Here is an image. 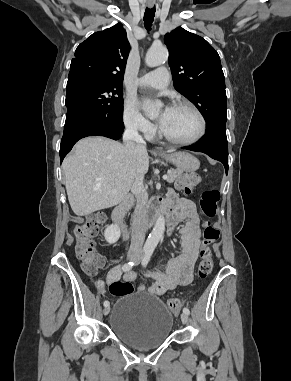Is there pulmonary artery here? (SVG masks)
<instances>
[{
	"instance_id": "e3ab8cb5",
	"label": "pulmonary artery",
	"mask_w": 291,
	"mask_h": 381,
	"mask_svg": "<svg viewBox=\"0 0 291 381\" xmlns=\"http://www.w3.org/2000/svg\"><path fill=\"white\" fill-rule=\"evenodd\" d=\"M137 84L141 87L165 89L169 84V71L165 67H160L140 77Z\"/></svg>"
}]
</instances>
